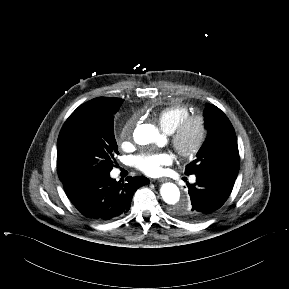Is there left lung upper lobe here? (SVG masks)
I'll return each mask as SVG.
<instances>
[{
  "mask_svg": "<svg viewBox=\"0 0 289 289\" xmlns=\"http://www.w3.org/2000/svg\"><path fill=\"white\" fill-rule=\"evenodd\" d=\"M204 116L208 136L197 158L186 166L185 174L219 173L236 179L240 159L231 122L218 107L211 104H206Z\"/></svg>",
  "mask_w": 289,
  "mask_h": 289,
  "instance_id": "5c2ea615",
  "label": "left lung upper lobe"
}]
</instances>
